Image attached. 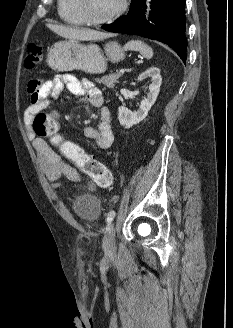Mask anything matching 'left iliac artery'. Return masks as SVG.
<instances>
[{
    "instance_id": "44dca946",
    "label": "left iliac artery",
    "mask_w": 233,
    "mask_h": 328,
    "mask_svg": "<svg viewBox=\"0 0 233 328\" xmlns=\"http://www.w3.org/2000/svg\"><path fill=\"white\" fill-rule=\"evenodd\" d=\"M115 216H116V212L114 210L110 211L106 218L107 223L110 224L113 221V219L115 218Z\"/></svg>"
}]
</instances>
